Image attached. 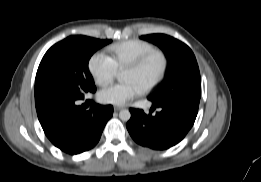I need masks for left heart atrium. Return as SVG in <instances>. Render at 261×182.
Returning a JSON list of instances; mask_svg holds the SVG:
<instances>
[{
  "label": "left heart atrium",
  "mask_w": 261,
  "mask_h": 182,
  "mask_svg": "<svg viewBox=\"0 0 261 182\" xmlns=\"http://www.w3.org/2000/svg\"><path fill=\"white\" fill-rule=\"evenodd\" d=\"M143 88L133 81L107 87L98 93V100L104 104L125 105L133 98L139 96Z\"/></svg>",
  "instance_id": "left-heart-atrium-1"
}]
</instances>
